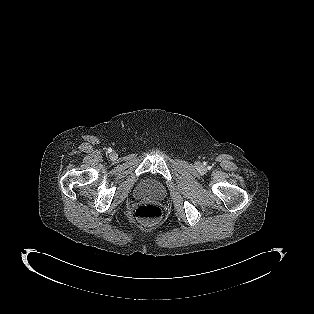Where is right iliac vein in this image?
<instances>
[{
    "label": "right iliac vein",
    "instance_id": "right-iliac-vein-1",
    "mask_svg": "<svg viewBox=\"0 0 314 314\" xmlns=\"http://www.w3.org/2000/svg\"><path fill=\"white\" fill-rule=\"evenodd\" d=\"M110 156L112 159H115L117 157V154L115 152H112Z\"/></svg>",
    "mask_w": 314,
    "mask_h": 314
}]
</instances>
